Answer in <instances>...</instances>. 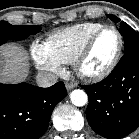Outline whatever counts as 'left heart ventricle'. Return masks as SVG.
Instances as JSON below:
<instances>
[{
    "instance_id": "left-heart-ventricle-1",
    "label": "left heart ventricle",
    "mask_w": 139,
    "mask_h": 139,
    "mask_svg": "<svg viewBox=\"0 0 139 139\" xmlns=\"http://www.w3.org/2000/svg\"><path fill=\"white\" fill-rule=\"evenodd\" d=\"M117 46L118 38L113 30L101 33L83 63V70L87 73H97L103 70L114 57Z\"/></svg>"
}]
</instances>
